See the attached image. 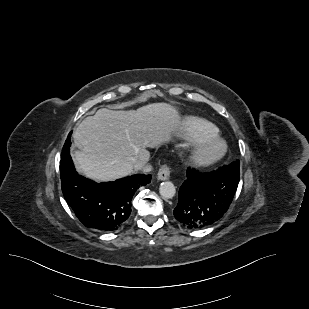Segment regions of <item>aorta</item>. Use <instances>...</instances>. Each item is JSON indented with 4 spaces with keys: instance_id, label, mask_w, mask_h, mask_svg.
Masks as SVG:
<instances>
[{
    "instance_id": "762f6f07",
    "label": "aorta",
    "mask_w": 309,
    "mask_h": 309,
    "mask_svg": "<svg viewBox=\"0 0 309 309\" xmlns=\"http://www.w3.org/2000/svg\"><path fill=\"white\" fill-rule=\"evenodd\" d=\"M160 195L165 199H171L175 196L176 189L172 182H162L159 188Z\"/></svg>"
}]
</instances>
